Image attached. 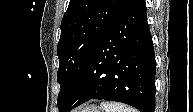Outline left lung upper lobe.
<instances>
[{"label":"left lung upper lobe","mask_w":193,"mask_h":112,"mask_svg":"<svg viewBox=\"0 0 193 112\" xmlns=\"http://www.w3.org/2000/svg\"><path fill=\"white\" fill-rule=\"evenodd\" d=\"M132 0H70L57 46L58 108L69 97L94 47Z\"/></svg>","instance_id":"1"}]
</instances>
